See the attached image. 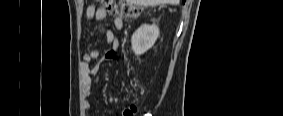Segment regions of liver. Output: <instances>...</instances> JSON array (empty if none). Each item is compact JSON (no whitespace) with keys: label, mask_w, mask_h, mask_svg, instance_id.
Masks as SVG:
<instances>
[{"label":"liver","mask_w":283,"mask_h":116,"mask_svg":"<svg viewBox=\"0 0 283 116\" xmlns=\"http://www.w3.org/2000/svg\"><path fill=\"white\" fill-rule=\"evenodd\" d=\"M134 3L144 6H156L160 4H179V0H133Z\"/></svg>","instance_id":"1"}]
</instances>
